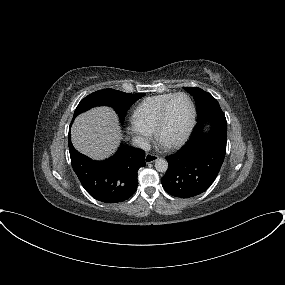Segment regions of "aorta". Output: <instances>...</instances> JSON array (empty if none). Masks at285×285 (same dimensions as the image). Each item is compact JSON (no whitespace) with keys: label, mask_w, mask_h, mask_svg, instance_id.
I'll use <instances>...</instances> for the list:
<instances>
[{"label":"aorta","mask_w":285,"mask_h":285,"mask_svg":"<svg viewBox=\"0 0 285 285\" xmlns=\"http://www.w3.org/2000/svg\"><path fill=\"white\" fill-rule=\"evenodd\" d=\"M155 168L158 172H166L168 169V162L165 159H156Z\"/></svg>","instance_id":"762f6f07"}]
</instances>
